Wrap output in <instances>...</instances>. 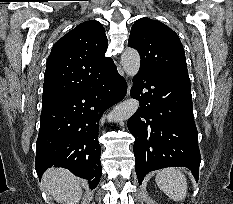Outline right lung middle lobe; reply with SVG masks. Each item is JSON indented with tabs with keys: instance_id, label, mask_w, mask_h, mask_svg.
<instances>
[{
	"instance_id": "dd1d6c3e",
	"label": "right lung middle lobe",
	"mask_w": 233,
	"mask_h": 204,
	"mask_svg": "<svg viewBox=\"0 0 233 204\" xmlns=\"http://www.w3.org/2000/svg\"><path fill=\"white\" fill-rule=\"evenodd\" d=\"M49 105H43L42 109L47 108Z\"/></svg>"
}]
</instances>
